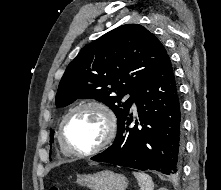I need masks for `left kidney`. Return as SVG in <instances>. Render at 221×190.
<instances>
[{
	"instance_id": "left-kidney-1",
	"label": "left kidney",
	"mask_w": 221,
	"mask_h": 190,
	"mask_svg": "<svg viewBox=\"0 0 221 190\" xmlns=\"http://www.w3.org/2000/svg\"><path fill=\"white\" fill-rule=\"evenodd\" d=\"M158 190H167L166 188H160V189H158Z\"/></svg>"
}]
</instances>
